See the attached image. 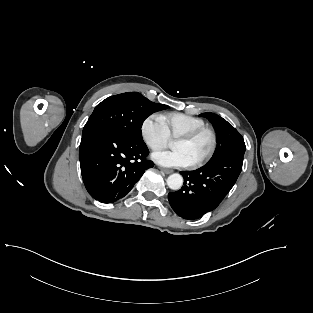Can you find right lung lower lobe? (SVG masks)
I'll use <instances>...</instances> for the list:
<instances>
[{
    "label": "right lung lower lobe",
    "mask_w": 313,
    "mask_h": 313,
    "mask_svg": "<svg viewBox=\"0 0 313 313\" xmlns=\"http://www.w3.org/2000/svg\"><path fill=\"white\" fill-rule=\"evenodd\" d=\"M144 141L128 139L111 130L97 129L82 135L79 160L89 194L101 203H113L133 188L154 163L146 160Z\"/></svg>",
    "instance_id": "1"
}]
</instances>
